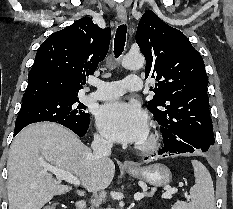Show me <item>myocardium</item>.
I'll return each mask as SVG.
<instances>
[{
  "mask_svg": "<svg viewBox=\"0 0 233 209\" xmlns=\"http://www.w3.org/2000/svg\"><path fill=\"white\" fill-rule=\"evenodd\" d=\"M160 144V136L154 129H149L145 140L139 142L135 148L144 153L155 151Z\"/></svg>",
  "mask_w": 233,
  "mask_h": 209,
  "instance_id": "myocardium-1",
  "label": "myocardium"
}]
</instances>
